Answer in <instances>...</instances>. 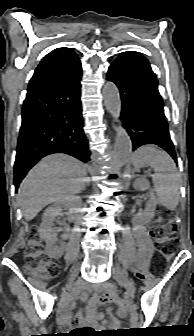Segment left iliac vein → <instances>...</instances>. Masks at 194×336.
Segmentation results:
<instances>
[{
  "label": "left iliac vein",
  "mask_w": 194,
  "mask_h": 336,
  "mask_svg": "<svg viewBox=\"0 0 194 336\" xmlns=\"http://www.w3.org/2000/svg\"><path fill=\"white\" fill-rule=\"evenodd\" d=\"M113 277L120 283L129 294H134L136 291L134 283L127 278L125 273L120 269L119 266L115 265L113 268Z\"/></svg>",
  "instance_id": "left-iliac-vein-1"
}]
</instances>
